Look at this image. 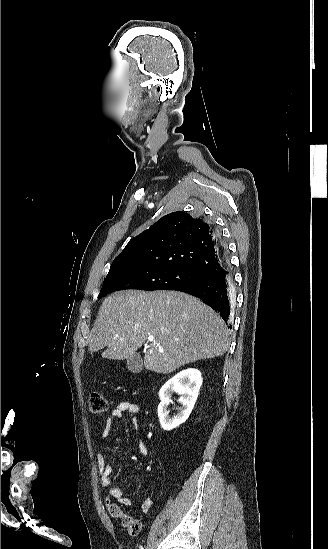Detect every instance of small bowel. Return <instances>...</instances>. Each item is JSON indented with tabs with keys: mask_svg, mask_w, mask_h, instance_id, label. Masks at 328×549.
Masks as SVG:
<instances>
[{
	"mask_svg": "<svg viewBox=\"0 0 328 549\" xmlns=\"http://www.w3.org/2000/svg\"><path fill=\"white\" fill-rule=\"evenodd\" d=\"M140 407L137 403L131 402V401H122L120 402L109 414L107 417V420L103 426L101 435L103 438L107 437L111 429L114 425V423L121 419L125 414L130 415L131 422L134 425L135 428H138V421L135 417V415L139 412ZM148 452L146 443L140 439L139 440V453L141 456H146ZM97 459V465H98V472L101 478V485L108 489V494L110 497L116 499L120 504L124 506H130L132 505L133 501L126 497L124 495L123 490L120 488H117L113 486L112 482V468L108 464L105 454L103 452H98L96 455ZM154 502L151 498L146 499L141 506V510L143 512H148L151 510Z\"/></svg>",
	"mask_w": 328,
	"mask_h": 549,
	"instance_id": "1",
	"label": "small bowel"
}]
</instances>
